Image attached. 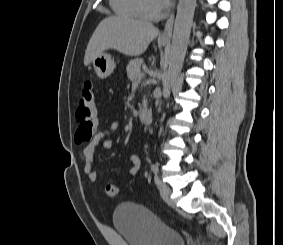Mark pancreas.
<instances>
[{"label":"pancreas","instance_id":"pancreas-1","mask_svg":"<svg viewBox=\"0 0 283 245\" xmlns=\"http://www.w3.org/2000/svg\"><path fill=\"white\" fill-rule=\"evenodd\" d=\"M144 65L142 58L131 60L126 67L127 76L131 81H135L141 75V67ZM146 101H143L145 105Z\"/></svg>","mask_w":283,"mask_h":245}]
</instances>
